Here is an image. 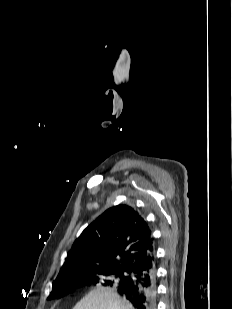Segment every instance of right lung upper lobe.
Segmentation results:
<instances>
[{
  "label": "right lung upper lobe",
  "instance_id": "cb5924a9",
  "mask_svg": "<svg viewBox=\"0 0 232 309\" xmlns=\"http://www.w3.org/2000/svg\"><path fill=\"white\" fill-rule=\"evenodd\" d=\"M145 257H154L151 230L128 205L106 210L76 239L53 286L98 270L126 271ZM49 299H55L51 294Z\"/></svg>",
  "mask_w": 232,
  "mask_h": 309
}]
</instances>
